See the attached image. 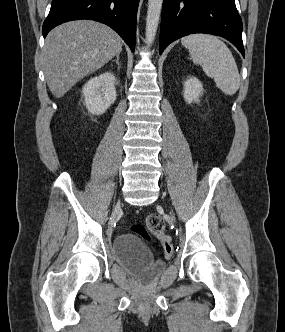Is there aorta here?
Here are the masks:
<instances>
[{"instance_id": "obj_1", "label": "aorta", "mask_w": 285, "mask_h": 332, "mask_svg": "<svg viewBox=\"0 0 285 332\" xmlns=\"http://www.w3.org/2000/svg\"><path fill=\"white\" fill-rule=\"evenodd\" d=\"M163 0H148L146 18V44L150 46L157 32Z\"/></svg>"}]
</instances>
